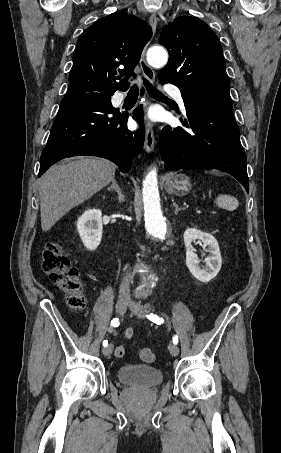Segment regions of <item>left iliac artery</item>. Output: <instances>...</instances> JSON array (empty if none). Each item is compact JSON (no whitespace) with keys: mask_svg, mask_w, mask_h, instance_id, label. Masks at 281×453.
I'll list each match as a JSON object with an SVG mask.
<instances>
[{"mask_svg":"<svg viewBox=\"0 0 281 453\" xmlns=\"http://www.w3.org/2000/svg\"><path fill=\"white\" fill-rule=\"evenodd\" d=\"M147 318L150 320V321H153L155 322L156 324H161L164 322V320L162 318H159L157 315L155 314H150V315H146ZM173 343L176 345L178 343V336H174L173 337Z\"/></svg>","mask_w":281,"mask_h":453,"instance_id":"left-iliac-artery-1","label":"left iliac artery"}]
</instances>
